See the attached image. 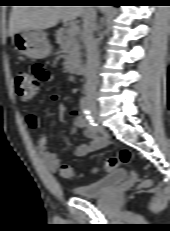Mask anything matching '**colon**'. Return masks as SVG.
<instances>
[{
	"instance_id": "obj_1",
	"label": "colon",
	"mask_w": 170,
	"mask_h": 231,
	"mask_svg": "<svg viewBox=\"0 0 170 231\" xmlns=\"http://www.w3.org/2000/svg\"><path fill=\"white\" fill-rule=\"evenodd\" d=\"M15 91L18 96L24 100H29L34 97L38 91L39 84L30 72L20 70L15 74L14 79ZM132 159V154L128 149H122L118 157H112L105 161L104 167L110 171L116 168L120 163H128ZM59 174L64 179H71L74 176V170L69 165L63 164L58 167ZM150 185V180L142 182L141 186Z\"/></svg>"
}]
</instances>
